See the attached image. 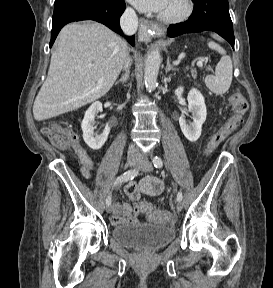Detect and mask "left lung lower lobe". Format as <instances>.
<instances>
[{"instance_id":"0a47b994","label":"left lung lower lobe","mask_w":273,"mask_h":288,"mask_svg":"<svg viewBox=\"0 0 273 288\" xmlns=\"http://www.w3.org/2000/svg\"><path fill=\"white\" fill-rule=\"evenodd\" d=\"M192 15L185 22L168 27V36L185 33L214 31L234 48L233 25L229 14L228 0H193Z\"/></svg>"}]
</instances>
